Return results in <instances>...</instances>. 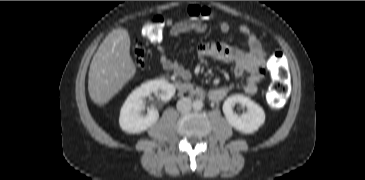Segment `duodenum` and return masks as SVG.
Instances as JSON below:
<instances>
[{
  "mask_svg": "<svg viewBox=\"0 0 365 180\" xmlns=\"http://www.w3.org/2000/svg\"><path fill=\"white\" fill-rule=\"evenodd\" d=\"M175 87L176 89L179 91V92H190V93H193L195 95H200L202 94L201 90L198 89V88H195V87H192L190 85H187L185 83H182V82H177L175 83Z\"/></svg>",
  "mask_w": 365,
  "mask_h": 180,
  "instance_id": "1",
  "label": "duodenum"
}]
</instances>
